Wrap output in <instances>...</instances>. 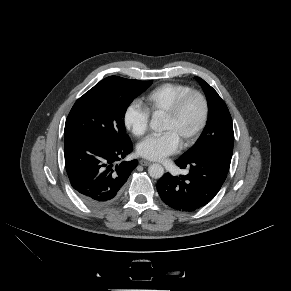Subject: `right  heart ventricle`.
I'll use <instances>...</instances> for the list:
<instances>
[{
  "label": "right heart ventricle",
  "instance_id": "1",
  "mask_svg": "<svg viewBox=\"0 0 291 291\" xmlns=\"http://www.w3.org/2000/svg\"><path fill=\"white\" fill-rule=\"evenodd\" d=\"M190 91H192V87L186 84H161L143 97V107L150 115L164 114L180 97Z\"/></svg>",
  "mask_w": 291,
  "mask_h": 291
}]
</instances>
